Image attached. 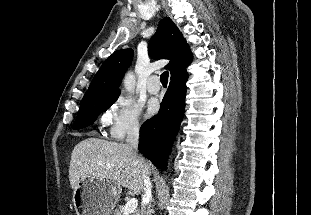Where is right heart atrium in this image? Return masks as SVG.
Segmentation results:
<instances>
[{
  "mask_svg": "<svg viewBox=\"0 0 311 215\" xmlns=\"http://www.w3.org/2000/svg\"><path fill=\"white\" fill-rule=\"evenodd\" d=\"M101 123L114 140L137 137L142 128L141 106L131 97L119 96L103 114Z\"/></svg>",
  "mask_w": 311,
  "mask_h": 215,
  "instance_id": "right-heart-atrium-1",
  "label": "right heart atrium"
}]
</instances>
